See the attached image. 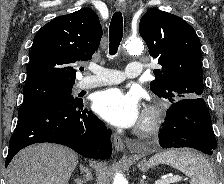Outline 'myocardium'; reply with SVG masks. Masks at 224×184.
<instances>
[{"label":"myocardium","mask_w":224,"mask_h":184,"mask_svg":"<svg viewBox=\"0 0 224 184\" xmlns=\"http://www.w3.org/2000/svg\"><path fill=\"white\" fill-rule=\"evenodd\" d=\"M163 122V109L156 106H147L142 113L136 132L143 138L154 136L160 131Z\"/></svg>","instance_id":"f54148a6"}]
</instances>
